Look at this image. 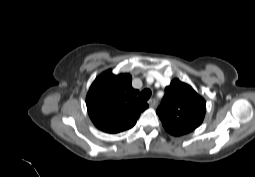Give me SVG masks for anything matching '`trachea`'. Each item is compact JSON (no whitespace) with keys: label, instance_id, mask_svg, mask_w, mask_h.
Here are the masks:
<instances>
[{"label":"trachea","instance_id":"obj_1","mask_svg":"<svg viewBox=\"0 0 255 177\" xmlns=\"http://www.w3.org/2000/svg\"><path fill=\"white\" fill-rule=\"evenodd\" d=\"M151 96V90L150 89H145L139 94V99L141 101H147Z\"/></svg>","mask_w":255,"mask_h":177}]
</instances>
